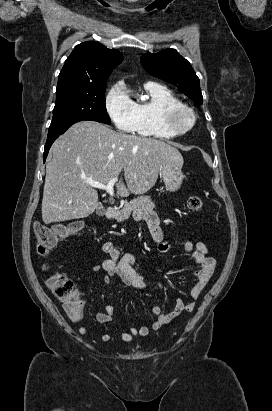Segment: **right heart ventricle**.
Segmentation results:
<instances>
[{
  "label": "right heart ventricle",
  "instance_id": "e07e8e85",
  "mask_svg": "<svg viewBox=\"0 0 272 411\" xmlns=\"http://www.w3.org/2000/svg\"><path fill=\"white\" fill-rule=\"evenodd\" d=\"M147 99L134 102L136 122L133 132L140 136L154 138H172L162 124L161 114L164 107L172 104H183L180 98L168 87L148 82L144 86Z\"/></svg>",
  "mask_w": 272,
  "mask_h": 411
}]
</instances>
